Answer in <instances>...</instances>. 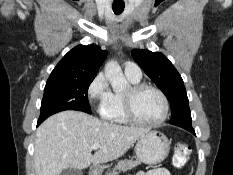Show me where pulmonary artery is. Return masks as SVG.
<instances>
[{
	"label": "pulmonary artery",
	"instance_id": "1",
	"mask_svg": "<svg viewBox=\"0 0 233 175\" xmlns=\"http://www.w3.org/2000/svg\"><path fill=\"white\" fill-rule=\"evenodd\" d=\"M124 73L127 78L139 81L141 78L140 67L134 62H126L124 65Z\"/></svg>",
	"mask_w": 233,
	"mask_h": 175
}]
</instances>
